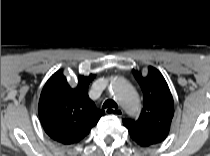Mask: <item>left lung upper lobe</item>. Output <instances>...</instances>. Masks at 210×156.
Instances as JSON below:
<instances>
[{"mask_svg": "<svg viewBox=\"0 0 210 156\" xmlns=\"http://www.w3.org/2000/svg\"><path fill=\"white\" fill-rule=\"evenodd\" d=\"M132 71L143 91V109L137 120H123V124L137 144L147 147L167 137L174 115V103L169 87L157 69L149 67L146 77L136 70Z\"/></svg>", "mask_w": 210, "mask_h": 156, "instance_id": "obj_1", "label": "left lung upper lobe"}]
</instances>
